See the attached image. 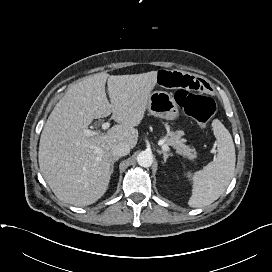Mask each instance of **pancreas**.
<instances>
[{
	"label": "pancreas",
	"instance_id": "cf45deb5",
	"mask_svg": "<svg viewBox=\"0 0 272 272\" xmlns=\"http://www.w3.org/2000/svg\"><path fill=\"white\" fill-rule=\"evenodd\" d=\"M182 131L170 132L168 137L165 139L164 144L172 146L176 149V152L190 160H194L198 157V153L194 148L186 145V139L181 138L183 136Z\"/></svg>",
	"mask_w": 272,
	"mask_h": 272
}]
</instances>
